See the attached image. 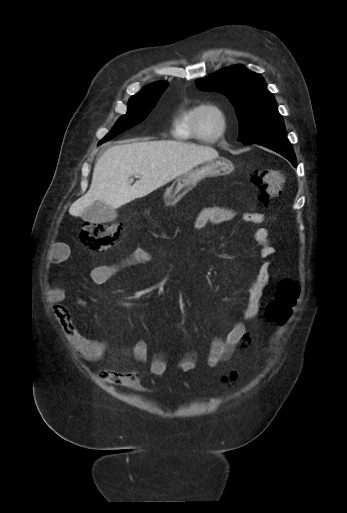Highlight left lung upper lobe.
<instances>
[{"mask_svg": "<svg viewBox=\"0 0 347 513\" xmlns=\"http://www.w3.org/2000/svg\"><path fill=\"white\" fill-rule=\"evenodd\" d=\"M202 90L225 94L236 108L239 138L244 144L285 137L277 104L263 78L241 65L224 68L196 82Z\"/></svg>", "mask_w": 347, "mask_h": 513, "instance_id": "5c2ea615", "label": "left lung upper lobe"}]
</instances>
